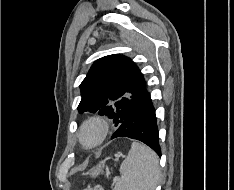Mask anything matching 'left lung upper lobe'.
Listing matches in <instances>:
<instances>
[{
  "instance_id": "left-lung-upper-lobe-1",
  "label": "left lung upper lobe",
  "mask_w": 234,
  "mask_h": 190,
  "mask_svg": "<svg viewBox=\"0 0 234 190\" xmlns=\"http://www.w3.org/2000/svg\"><path fill=\"white\" fill-rule=\"evenodd\" d=\"M80 88L79 113L106 115L116 127L146 92L141 71L123 55H109L95 61Z\"/></svg>"
}]
</instances>
